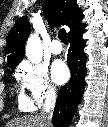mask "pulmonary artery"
Masks as SVG:
<instances>
[{"instance_id": "1", "label": "pulmonary artery", "mask_w": 108, "mask_h": 127, "mask_svg": "<svg viewBox=\"0 0 108 127\" xmlns=\"http://www.w3.org/2000/svg\"><path fill=\"white\" fill-rule=\"evenodd\" d=\"M63 48L61 43L58 40H53L50 44V51L53 54H60L62 52Z\"/></svg>"}]
</instances>
